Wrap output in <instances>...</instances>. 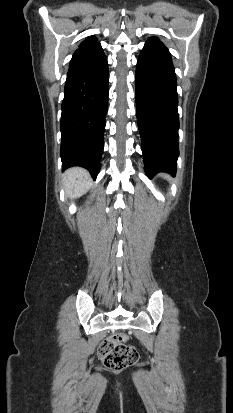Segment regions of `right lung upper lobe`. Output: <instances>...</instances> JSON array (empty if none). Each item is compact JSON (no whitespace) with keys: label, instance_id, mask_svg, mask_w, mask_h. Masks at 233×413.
Returning <instances> with one entry per match:
<instances>
[{"label":"right lung upper lobe","instance_id":"cb5924a9","mask_svg":"<svg viewBox=\"0 0 233 413\" xmlns=\"http://www.w3.org/2000/svg\"><path fill=\"white\" fill-rule=\"evenodd\" d=\"M95 42H96V38L90 36V37H87V38L80 44V47L85 46V45H88V44H92V43H95Z\"/></svg>","mask_w":233,"mask_h":413}]
</instances>
